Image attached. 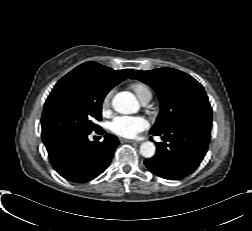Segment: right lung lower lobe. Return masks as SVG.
Masks as SVG:
<instances>
[{"mask_svg": "<svg viewBox=\"0 0 252 231\" xmlns=\"http://www.w3.org/2000/svg\"><path fill=\"white\" fill-rule=\"evenodd\" d=\"M96 132L105 133L102 128ZM88 135L66 136L46 146L53 168L71 182L96 178L109 166L119 144L112 134H106L102 142H90Z\"/></svg>", "mask_w": 252, "mask_h": 231, "instance_id": "98d812e1", "label": "right lung lower lobe"}]
</instances>
